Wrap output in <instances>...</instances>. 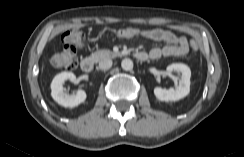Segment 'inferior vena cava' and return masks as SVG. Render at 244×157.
I'll return each instance as SVG.
<instances>
[{
  "label": "inferior vena cava",
  "instance_id": "1",
  "mask_svg": "<svg viewBox=\"0 0 244 157\" xmlns=\"http://www.w3.org/2000/svg\"><path fill=\"white\" fill-rule=\"evenodd\" d=\"M112 66L111 59H103L99 62V69L101 70H108Z\"/></svg>",
  "mask_w": 244,
  "mask_h": 157
}]
</instances>
